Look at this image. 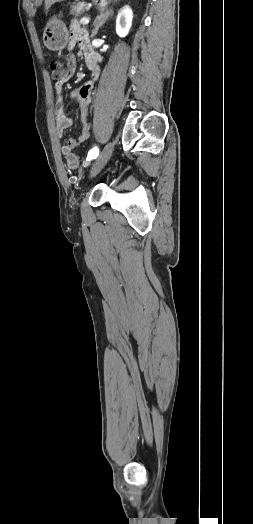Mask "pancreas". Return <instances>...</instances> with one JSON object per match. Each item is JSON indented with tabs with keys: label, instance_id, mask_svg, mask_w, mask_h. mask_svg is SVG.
<instances>
[{
	"label": "pancreas",
	"instance_id": "pancreas-1",
	"mask_svg": "<svg viewBox=\"0 0 253 524\" xmlns=\"http://www.w3.org/2000/svg\"><path fill=\"white\" fill-rule=\"evenodd\" d=\"M89 8L88 4L85 2H79L71 5L70 10L72 15L77 16L81 13H83L85 10Z\"/></svg>",
	"mask_w": 253,
	"mask_h": 524
}]
</instances>
